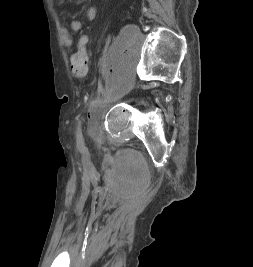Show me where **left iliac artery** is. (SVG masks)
I'll use <instances>...</instances> for the list:
<instances>
[{
  "label": "left iliac artery",
  "instance_id": "1",
  "mask_svg": "<svg viewBox=\"0 0 253 267\" xmlns=\"http://www.w3.org/2000/svg\"><path fill=\"white\" fill-rule=\"evenodd\" d=\"M81 126H82V119L79 120V122H78V128H77V134H78V136H79L80 138H81V136H82Z\"/></svg>",
  "mask_w": 253,
  "mask_h": 267
}]
</instances>
